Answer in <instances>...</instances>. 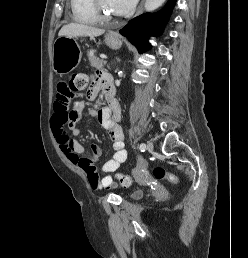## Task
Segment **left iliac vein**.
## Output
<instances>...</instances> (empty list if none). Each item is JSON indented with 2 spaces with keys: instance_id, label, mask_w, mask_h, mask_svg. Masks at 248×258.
Returning <instances> with one entry per match:
<instances>
[{
  "instance_id": "4c4485c4",
  "label": "left iliac vein",
  "mask_w": 248,
  "mask_h": 258,
  "mask_svg": "<svg viewBox=\"0 0 248 258\" xmlns=\"http://www.w3.org/2000/svg\"><path fill=\"white\" fill-rule=\"evenodd\" d=\"M153 149H154L153 144H152V143H150V142H148V143H147V150H148L149 152H152V151H153Z\"/></svg>"
}]
</instances>
